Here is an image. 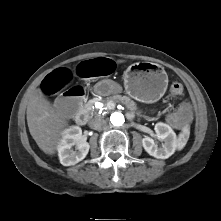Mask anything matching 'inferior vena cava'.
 Here are the masks:
<instances>
[{
    "instance_id": "obj_1",
    "label": "inferior vena cava",
    "mask_w": 221,
    "mask_h": 221,
    "mask_svg": "<svg viewBox=\"0 0 221 221\" xmlns=\"http://www.w3.org/2000/svg\"><path fill=\"white\" fill-rule=\"evenodd\" d=\"M106 124L107 122L100 117L93 118L89 122L90 127L95 130H101L103 127L106 126Z\"/></svg>"
}]
</instances>
